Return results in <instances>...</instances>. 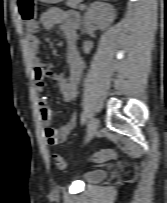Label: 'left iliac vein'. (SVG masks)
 <instances>
[{"mask_svg": "<svg viewBox=\"0 0 167 203\" xmlns=\"http://www.w3.org/2000/svg\"><path fill=\"white\" fill-rule=\"evenodd\" d=\"M99 127V121L97 118H92L88 123L87 134L85 138V142L91 140L97 133Z\"/></svg>", "mask_w": 167, "mask_h": 203, "instance_id": "obj_1", "label": "left iliac vein"}]
</instances>
